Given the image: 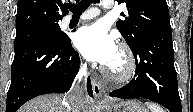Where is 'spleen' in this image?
Listing matches in <instances>:
<instances>
[{"label":"spleen","mask_w":193,"mask_h":112,"mask_svg":"<svg viewBox=\"0 0 193 112\" xmlns=\"http://www.w3.org/2000/svg\"><path fill=\"white\" fill-rule=\"evenodd\" d=\"M147 107L151 110V112H164L163 109L156 104L147 103Z\"/></svg>","instance_id":"3e777b00"}]
</instances>
